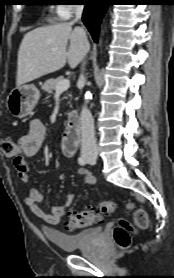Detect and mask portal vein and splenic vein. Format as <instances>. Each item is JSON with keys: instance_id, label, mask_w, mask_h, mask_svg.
Returning <instances> with one entry per match:
<instances>
[{"instance_id": "obj_1", "label": "portal vein and splenic vein", "mask_w": 174, "mask_h": 278, "mask_svg": "<svg viewBox=\"0 0 174 278\" xmlns=\"http://www.w3.org/2000/svg\"><path fill=\"white\" fill-rule=\"evenodd\" d=\"M70 87V81L68 79H65L61 82H59L55 88V91L58 92H63L67 90Z\"/></svg>"}]
</instances>
